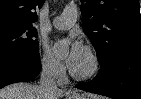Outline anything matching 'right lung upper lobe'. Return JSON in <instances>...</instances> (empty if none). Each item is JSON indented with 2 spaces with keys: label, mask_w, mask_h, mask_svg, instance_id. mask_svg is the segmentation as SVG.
<instances>
[{
  "label": "right lung upper lobe",
  "mask_w": 141,
  "mask_h": 99,
  "mask_svg": "<svg viewBox=\"0 0 141 99\" xmlns=\"http://www.w3.org/2000/svg\"><path fill=\"white\" fill-rule=\"evenodd\" d=\"M43 3L44 0H0V24H33L37 20L35 9Z\"/></svg>",
  "instance_id": "obj_1"
}]
</instances>
